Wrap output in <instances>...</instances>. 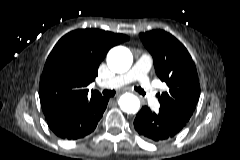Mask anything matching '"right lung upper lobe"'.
Segmentation results:
<instances>
[{"mask_svg":"<svg viewBox=\"0 0 240 160\" xmlns=\"http://www.w3.org/2000/svg\"><path fill=\"white\" fill-rule=\"evenodd\" d=\"M124 34L98 29H80L63 36L49 54L39 84L40 102L46 120L102 96L87 86L98 75L108 50L128 40Z\"/></svg>","mask_w":240,"mask_h":160,"instance_id":"cb5924a9","label":"right lung upper lobe"}]
</instances>
